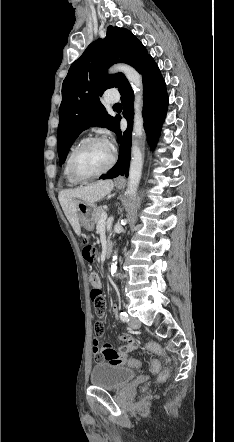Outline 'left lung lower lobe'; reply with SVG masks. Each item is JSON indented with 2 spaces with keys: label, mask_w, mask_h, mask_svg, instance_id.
I'll list each match as a JSON object with an SVG mask.
<instances>
[{
  "label": "left lung lower lobe",
  "mask_w": 234,
  "mask_h": 442,
  "mask_svg": "<svg viewBox=\"0 0 234 442\" xmlns=\"http://www.w3.org/2000/svg\"><path fill=\"white\" fill-rule=\"evenodd\" d=\"M140 73L143 76L144 88V128L148 135L149 143L151 145H155L168 106L166 85L157 64L151 56H149L145 61ZM119 92L121 94V101L123 104V115L128 121V128L123 134L118 128L117 136L120 141L119 160L116 165L106 175L101 176L100 179L115 178L118 175H123L124 173L126 176H128L131 132L134 114V94L130 84L124 86ZM120 119L121 117H118V126Z\"/></svg>",
  "instance_id": "obj_1"
}]
</instances>
